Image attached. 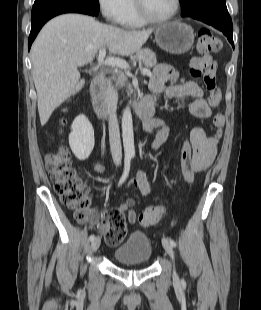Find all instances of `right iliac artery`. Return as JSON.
Returning <instances> with one entry per match:
<instances>
[{
  "instance_id": "obj_1",
  "label": "right iliac artery",
  "mask_w": 261,
  "mask_h": 310,
  "mask_svg": "<svg viewBox=\"0 0 261 310\" xmlns=\"http://www.w3.org/2000/svg\"><path fill=\"white\" fill-rule=\"evenodd\" d=\"M130 160L131 158L130 157H125V160H124V171H123V174L119 180V183L118 185H121L127 178L128 174H129V171H130ZM95 239V235H90L89 237V240L90 241H93Z\"/></svg>"
}]
</instances>
